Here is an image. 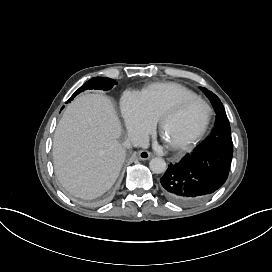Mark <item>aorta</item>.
Wrapping results in <instances>:
<instances>
[{
	"label": "aorta",
	"instance_id": "obj_1",
	"mask_svg": "<svg viewBox=\"0 0 272 272\" xmlns=\"http://www.w3.org/2000/svg\"><path fill=\"white\" fill-rule=\"evenodd\" d=\"M149 167L155 174H160L166 171V162L163 158L155 157L150 160Z\"/></svg>",
	"mask_w": 272,
	"mask_h": 272
}]
</instances>
